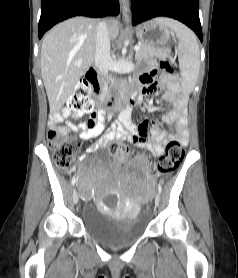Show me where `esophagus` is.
<instances>
[{"instance_id": "34e87169", "label": "esophagus", "mask_w": 238, "mask_h": 278, "mask_svg": "<svg viewBox=\"0 0 238 278\" xmlns=\"http://www.w3.org/2000/svg\"><path fill=\"white\" fill-rule=\"evenodd\" d=\"M120 5H121V9H122L124 18L126 20H129L130 19V16H129V12H130L129 0H120Z\"/></svg>"}]
</instances>
